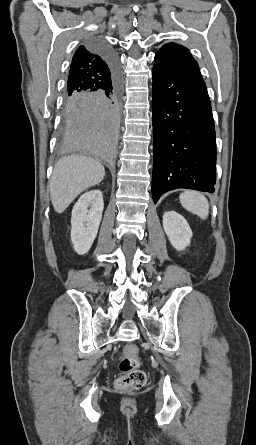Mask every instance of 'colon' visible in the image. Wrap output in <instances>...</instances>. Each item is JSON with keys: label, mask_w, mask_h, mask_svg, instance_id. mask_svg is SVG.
I'll return each mask as SVG.
<instances>
[{"label": "colon", "mask_w": 256, "mask_h": 445, "mask_svg": "<svg viewBox=\"0 0 256 445\" xmlns=\"http://www.w3.org/2000/svg\"><path fill=\"white\" fill-rule=\"evenodd\" d=\"M120 375L116 379V388L130 391L142 388L147 382V374L140 369L137 348L128 344L124 347L119 360Z\"/></svg>", "instance_id": "5ec220e1"}]
</instances>
